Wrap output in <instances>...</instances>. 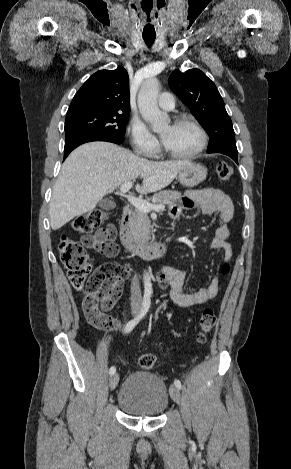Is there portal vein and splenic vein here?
Returning a JSON list of instances; mask_svg holds the SVG:
<instances>
[{
  "label": "portal vein and splenic vein",
  "mask_w": 291,
  "mask_h": 469,
  "mask_svg": "<svg viewBox=\"0 0 291 469\" xmlns=\"http://www.w3.org/2000/svg\"><path fill=\"white\" fill-rule=\"evenodd\" d=\"M132 185H133L132 181L123 183L120 187L121 193L123 194L127 193L131 189ZM126 198L130 202V204H132L138 210L143 211V212H150L152 210L163 211L165 209V206L163 204H151L145 200L139 199L132 195H128L126 196Z\"/></svg>",
  "instance_id": "obj_1"
}]
</instances>
